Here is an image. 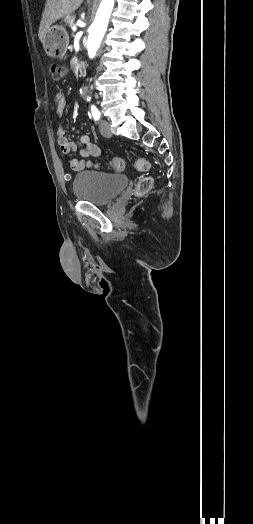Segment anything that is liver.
Segmentation results:
<instances>
[{"instance_id":"obj_1","label":"liver","mask_w":253,"mask_h":524,"mask_svg":"<svg viewBox=\"0 0 253 524\" xmlns=\"http://www.w3.org/2000/svg\"><path fill=\"white\" fill-rule=\"evenodd\" d=\"M83 0H47L40 22L38 36L42 43L50 26L78 9Z\"/></svg>"}]
</instances>
